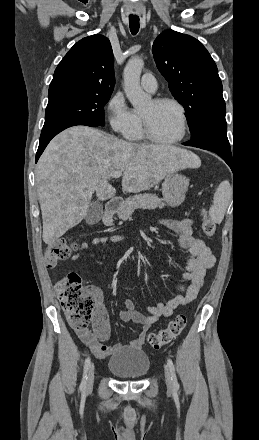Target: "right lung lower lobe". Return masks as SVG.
<instances>
[{"label":"right lung lower lobe","mask_w":259,"mask_h":440,"mask_svg":"<svg viewBox=\"0 0 259 440\" xmlns=\"http://www.w3.org/2000/svg\"><path fill=\"white\" fill-rule=\"evenodd\" d=\"M76 125H86V126H90V127H98L99 125L97 124H93V123H89V122H85V121H79V120H68V121H64L55 125H51L49 127H43L42 132H41V136H40V142H39V147L36 153V162L38 161L40 155L42 154V152L44 151V149L46 148V146L48 145V143L50 142V140L57 135L58 133H60L61 131H63L66 128H69L71 126H76Z\"/></svg>","instance_id":"1"}]
</instances>
